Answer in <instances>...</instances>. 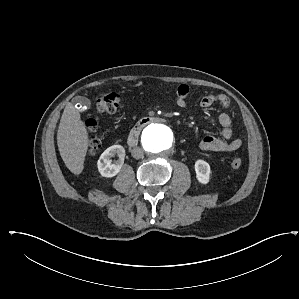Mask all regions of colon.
Instances as JSON below:
<instances>
[{"instance_id":"obj_1","label":"colon","mask_w":299,"mask_h":299,"mask_svg":"<svg viewBox=\"0 0 299 299\" xmlns=\"http://www.w3.org/2000/svg\"><path fill=\"white\" fill-rule=\"evenodd\" d=\"M121 98L120 95L115 92H106L98 97L96 108L100 113H114L120 106ZM86 126L91 133L88 145L89 155H95L100 148V139L96 136L95 132L97 124L93 119L86 121ZM242 165V159L235 157L231 160V166L233 168H239Z\"/></svg>"}]
</instances>
